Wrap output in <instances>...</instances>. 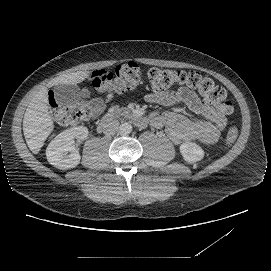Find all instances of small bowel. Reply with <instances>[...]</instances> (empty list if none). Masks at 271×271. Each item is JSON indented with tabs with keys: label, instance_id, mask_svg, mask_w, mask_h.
Returning a JSON list of instances; mask_svg holds the SVG:
<instances>
[{
	"label": "small bowel",
	"instance_id": "small-bowel-1",
	"mask_svg": "<svg viewBox=\"0 0 271 271\" xmlns=\"http://www.w3.org/2000/svg\"><path fill=\"white\" fill-rule=\"evenodd\" d=\"M102 71L104 70L93 71L88 77L92 79ZM112 98L113 94L106 95L107 102H110ZM146 100L163 106L183 105L197 116L189 118L171 112L151 115V122L157 127L164 128L167 136L174 143L192 140L208 144L215 143L226 126V118L223 114L184 87L164 94H148Z\"/></svg>",
	"mask_w": 271,
	"mask_h": 271
}]
</instances>
